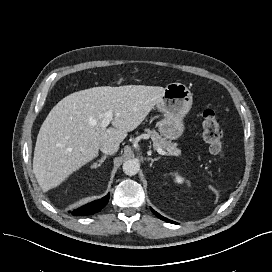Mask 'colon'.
I'll use <instances>...</instances> for the list:
<instances>
[{"mask_svg":"<svg viewBox=\"0 0 272 272\" xmlns=\"http://www.w3.org/2000/svg\"><path fill=\"white\" fill-rule=\"evenodd\" d=\"M202 137L213 155L219 158L225 156L223 130L212 108H207L202 114Z\"/></svg>","mask_w":272,"mask_h":272,"instance_id":"colon-1","label":"colon"}]
</instances>
